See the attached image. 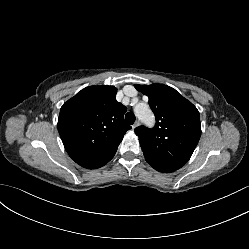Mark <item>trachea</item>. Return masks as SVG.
Returning a JSON list of instances; mask_svg holds the SVG:
<instances>
[{"instance_id":"obj_1","label":"trachea","mask_w":249,"mask_h":249,"mask_svg":"<svg viewBox=\"0 0 249 249\" xmlns=\"http://www.w3.org/2000/svg\"><path fill=\"white\" fill-rule=\"evenodd\" d=\"M125 120L128 124L132 125L135 120H136V117L133 113H130L128 112L126 115H125Z\"/></svg>"}]
</instances>
